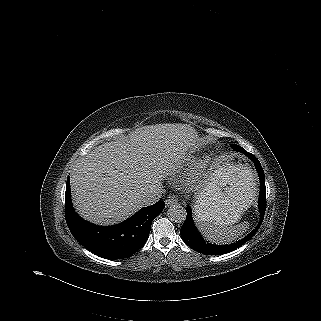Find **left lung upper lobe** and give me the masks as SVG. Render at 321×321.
<instances>
[{"label":"left lung upper lobe","mask_w":321,"mask_h":321,"mask_svg":"<svg viewBox=\"0 0 321 321\" xmlns=\"http://www.w3.org/2000/svg\"><path fill=\"white\" fill-rule=\"evenodd\" d=\"M230 146L236 151H238V148H240V146H238L236 144H230Z\"/></svg>","instance_id":"obj_1"}]
</instances>
